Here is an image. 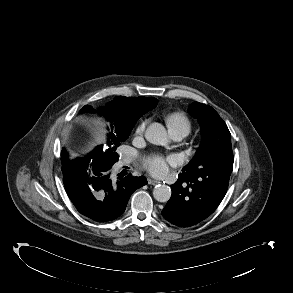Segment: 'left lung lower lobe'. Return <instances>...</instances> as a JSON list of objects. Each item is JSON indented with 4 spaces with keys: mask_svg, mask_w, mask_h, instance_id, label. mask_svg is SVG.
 Wrapping results in <instances>:
<instances>
[{
    "mask_svg": "<svg viewBox=\"0 0 293 293\" xmlns=\"http://www.w3.org/2000/svg\"><path fill=\"white\" fill-rule=\"evenodd\" d=\"M230 174L226 171L180 173L177 182L171 185L172 196L162 211L163 217L180 227L201 222L224 198Z\"/></svg>",
    "mask_w": 293,
    "mask_h": 293,
    "instance_id": "left-lung-lower-lobe-1",
    "label": "left lung lower lobe"
}]
</instances>
